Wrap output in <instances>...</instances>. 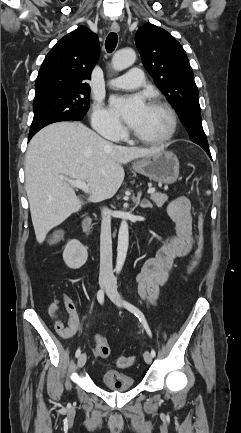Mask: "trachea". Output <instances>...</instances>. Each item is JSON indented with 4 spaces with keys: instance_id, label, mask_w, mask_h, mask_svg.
Instances as JSON below:
<instances>
[{
    "instance_id": "1",
    "label": "trachea",
    "mask_w": 241,
    "mask_h": 433,
    "mask_svg": "<svg viewBox=\"0 0 241 433\" xmlns=\"http://www.w3.org/2000/svg\"><path fill=\"white\" fill-rule=\"evenodd\" d=\"M117 41H118L117 34L115 32H111L107 36L106 41H105V48H106L107 52L110 53L115 49V47L117 45Z\"/></svg>"
}]
</instances>
